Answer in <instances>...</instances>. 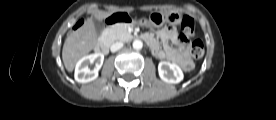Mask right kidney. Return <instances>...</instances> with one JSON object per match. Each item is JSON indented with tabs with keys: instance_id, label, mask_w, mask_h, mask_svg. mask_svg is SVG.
Listing matches in <instances>:
<instances>
[{
	"instance_id": "right-kidney-1",
	"label": "right kidney",
	"mask_w": 276,
	"mask_h": 120,
	"mask_svg": "<svg viewBox=\"0 0 276 120\" xmlns=\"http://www.w3.org/2000/svg\"><path fill=\"white\" fill-rule=\"evenodd\" d=\"M104 55L102 53H94L82 57L76 64L74 77L77 82L88 83L98 77V71L102 67ZM94 64V69H90L89 65Z\"/></svg>"
}]
</instances>
